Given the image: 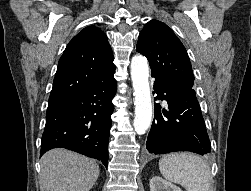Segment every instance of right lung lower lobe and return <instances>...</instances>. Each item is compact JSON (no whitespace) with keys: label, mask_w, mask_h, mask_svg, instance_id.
I'll list each match as a JSON object with an SVG mask.
<instances>
[{"label":"right lung lower lobe","mask_w":251,"mask_h":191,"mask_svg":"<svg viewBox=\"0 0 251 191\" xmlns=\"http://www.w3.org/2000/svg\"><path fill=\"white\" fill-rule=\"evenodd\" d=\"M117 82L113 78L65 101L49 105L41 140L42 156L53 148H66L108 164V139L112 99Z\"/></svg>","instance_id":"1"}]
</instances>
